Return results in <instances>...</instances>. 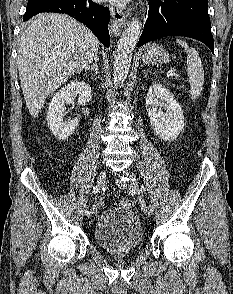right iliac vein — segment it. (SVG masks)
<instances>
[{
    "instance_id": "63e3f726",
    "label": "right iliac vein",
    "mask_w": 233,
    "mask_h": 294,
    "mask_svg": "<svg viewBox=\"0 0 233 294\" xmlns=\"http://www.w3.org/2000/svg\"><path fill=\"white\" fill-rule=\"evenodd\" d=\"M105 181H106V172L101 171L97 177V186L99 187V189H101L105 185ZM95 213H96V207L93 206L88 217L89 218L92 217Z\"/></svg>"
}]
</instances>
